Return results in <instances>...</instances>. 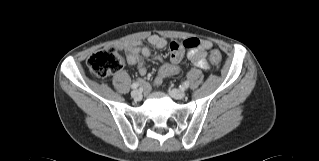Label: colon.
Segmentation results:
<instances>
[{
  "label": "colon",
  "instance_id": "colon-1",
  "mask_svg": "<svg viewBox=\"0 0 319 161\" xmlns=\"http://www.w3.org/2000/svg\"><path fill=\"white\" fill-rule=\"evenodd\" d=\"M171 61L177 64L182 57V52L186 50L197 49L200 46L198 39L190 38L184 41H173L170 43ZM210 59L214 64L221 60V55L216 46L210 48ZM123 57L114 49H105L101 52L91 55L87 60L89 72L95 77H107L123 67Z\"/></svg>",
  "mask_w": 319,
  "mask_h": 161
}]
</instances>
